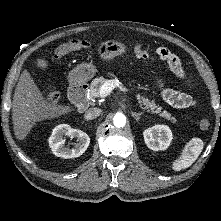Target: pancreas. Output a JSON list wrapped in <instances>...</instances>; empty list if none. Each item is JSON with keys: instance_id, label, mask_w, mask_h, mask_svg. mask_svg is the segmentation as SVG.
Wrapping results in <instances>:
<instances>
[{"instance_id": "1", "label": "pancreas", "mask_w": 221, "mask_h": 221, "mask_svg": "<svg viewBox=\"0 0 221 221\" xmlns=\"http://www.w3.org/2000/svg\"><path fill=\"white\" fill-rule=\"evenodd\" d=\"M106 81L107 80L103 77L95 78L90 84L89 97L92 99L99 97L100 88ZM136 97L142 109L147 110L152 114H159L160 117L168 121H171L173 124L177 123V120L174 117H172L169 112H167L166 110L162 111V107L156 105L154 101H150L149 99L145 98L144 96H141L140 94H137Z\"/></svg>"}]
</instances>
